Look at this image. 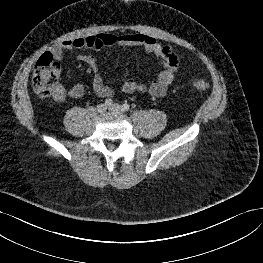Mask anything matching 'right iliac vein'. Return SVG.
I'll use <instances>...</instances> for the list:
<instances>
[{"label": "right iliac vein", "instance_id": "63e3f726", "mask_svg": "<svg viewBox=\"0 0 263 263\" xmlns=\"http://www.w3.org/2000/svg\"><path fill=\"white\" fill-rule=\"evenodd\" d=\"M106 110H107V106H106L105 104H99V105L97 106V111H98L99 113H105Z\"/></svg>", "mask_w": 263, "mask_h": 263}]
</instances>
